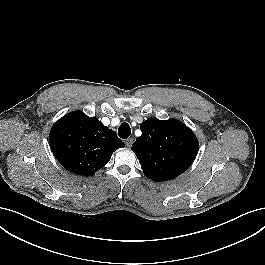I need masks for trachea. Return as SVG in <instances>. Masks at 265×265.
Instances as JSON below:
<instances>
[{
  "label": "trachea",
  "mask_w": 265,
  "mask_h": 265,
  "mask_svg": "<svg viewBox=\"0 0 265 265\" xmlns=\"http://www.w3.org/2000/svg\"><path fill=\"white\" fill-rule=\"evenodd\" d=\"M131 134V128L128 123L123 122L118 129V135L122 139H127Z\"/></svg>",
  "instance_id": "3493384b"
}]
</instances>
